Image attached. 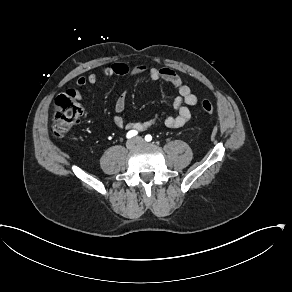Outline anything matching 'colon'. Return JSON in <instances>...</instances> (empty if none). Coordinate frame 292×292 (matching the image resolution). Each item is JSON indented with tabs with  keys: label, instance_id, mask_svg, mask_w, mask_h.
Instances as JSON below:
<instances>
[{
	"label": "colon",
	"instance_id": "1",
	"mask_svg": "<svg viewBox=\"0 0 292 292\" xmlns=\"http://www.w3.org/2000/svg\"><path fill=\"white\" fill-rule=\"evenodd\" d=\"M201 110L209 115L213 112V104L210 99L203 100ZM84 115V108L76 97L73 89H68L59 94L55 100L54 115L52 120V132L56 137H62L68 129L79 123Z\"/></svg>",
	"mask_w": 292,
	"mask_h": 292
}]
</instances>
